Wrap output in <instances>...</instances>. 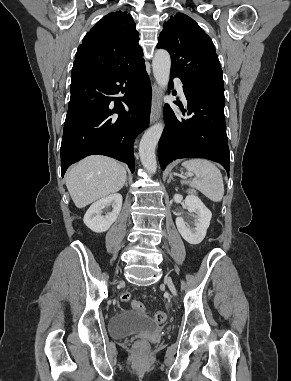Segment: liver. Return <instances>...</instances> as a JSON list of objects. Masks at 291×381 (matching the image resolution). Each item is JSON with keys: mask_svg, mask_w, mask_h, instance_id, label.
<instances>
[{"mask_svg": "<svg viewBox=\"0 0 291 381\" xmlns=\"http://www.w3.org/2000/svg\"><path fill=\"white\" fill-rule=\"evenodd\" d=\"M125 181V168L118 161L99 155L81 160L66 175V187L77 208L118 192Z\"/></svg>", "mask_w": 291, "mask_h": 381, "instance_id": "liver-1", "label": "liver"}]
</instances>
